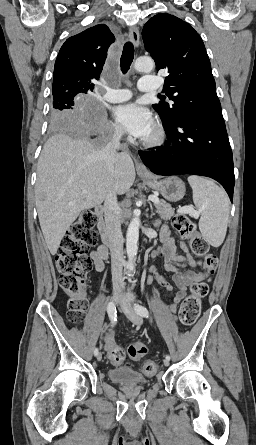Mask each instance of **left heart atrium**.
Segmentation results:
<instances>
[{"label": "left heart atrium", "mask_w": 256, "mask_h": 445, "mask_svg": "<svg viewBox=\"0 0 256 445\" xmlns=\"http://www.w3.org/2000/svg\"><path fill=\"white\" fill-rule=\"evenodd\" d=\"M114 117L117 123L134 137L146 139L153 132L154 121L151 114L136 103L116 107Z\"/></svg>", "instance_id": "39dd6f15"}]
</instances>
